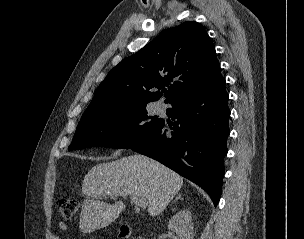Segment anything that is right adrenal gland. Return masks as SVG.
I'll return each mask as SVG.
<instances>
[{
  "mask_svg": "<svg viewBox=\"0 0 304 239\" xmlns=\"http://www.w3.org/2000/svg\"><path fill=\"white\" fill-rule=\"evenodd\" d=\"M178 199H182V198H181V195H178V196L175 198V200H178Z\"/></svg>",
  "mask_w": 304,
  "mask_h": 239,
  "instance_id": "2a0ac1e0",
  "label": "right adrenal gland"
}]
</instances>
